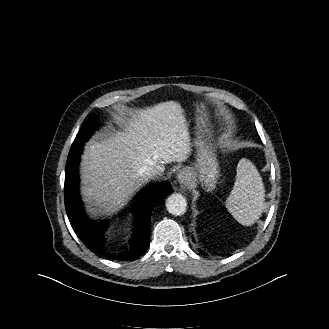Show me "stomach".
<instances>
[{"mask_svg":"<svg viewBox=\"0 0 329 329\" xmlns=\"http://www.w3.org/2000/svg\"><path fill=\"white\" fill-rule=\"evenodd\" d=\"M197 139V162L190 169V175L201 183L206 191H212L220 176L219 166L209 140L212 136L208 114L203 106H197L196 114Z\"/></svg>","mask_w":329,"mask_h":329,"instance_id":"stomach-1","label":"stomach"}]
</instances>
